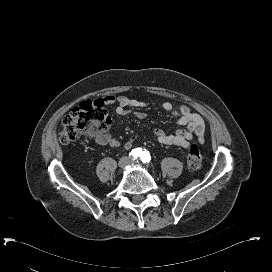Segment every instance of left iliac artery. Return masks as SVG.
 Returning a JSON list of instances; mask_svg holds the SVG:
<instances>
[{"instance_id": "44dca946", "label": "left iliac artery", "mask_w": 272, "mask_h": 272, "mask_svg": "<svg viewBox=\"0 0 272 272\" xmlns=\"http://www.w3.org/2000/svg\"><path fill=\"white\" fill-rule=\"evenodd\" d=\"M140 159L142 160V162L148 163L151 160V156L149 152H147L146 150H143V151L141 150Z\"/></svg>"}]
</instances>
